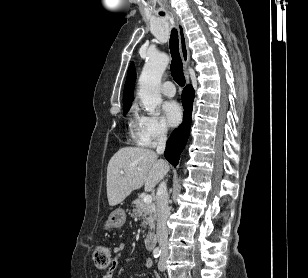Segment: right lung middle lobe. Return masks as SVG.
I'll return each instance as SVG.
<instances>
[{
    "instance_id": "1",
    "label": "right lung middle lobe",
    "mask_w": 308,
    "mask_h": 278,
    "mask_svg": "<svg viewBox=\"0 0 308 278\" xmlns=\"http://www.w3.org/2000/svg\"><path fill=\"white\" fill-rule=\"evenodd\" d=\"M123 104H124L123 114L125 115L129 111L131 103H123Z\"/></svg>"
}]
</instances>
